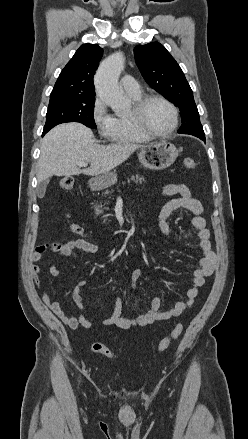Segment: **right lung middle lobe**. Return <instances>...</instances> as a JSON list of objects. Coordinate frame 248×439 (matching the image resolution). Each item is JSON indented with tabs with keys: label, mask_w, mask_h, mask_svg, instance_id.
<instances>
[{
	"label": "right lung middle lobe",
	"mask_w": 248,
	"mask_h": 439,
	"mask_svg": "<svg viewBox=\"0 0 248 439\" xmlns=\"http://www.w3.org/2000/svg\"><path fill=\"white\" fill-rule=\"evenodd\" d=\"M95 96L60 95L50 97L46 124L43 132L47 133L54 126L65 122H80L96 129L94 122Z\"/></svg>",
	"instance_id": "1"
}]
</instances>
